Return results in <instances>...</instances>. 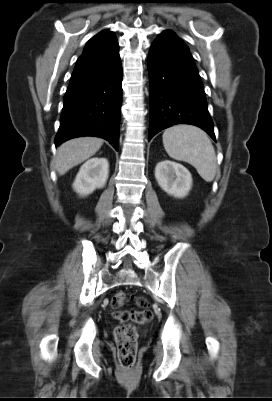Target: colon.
<instances>
[{
    "mask_svg": "<svg viewBox=\"0 0 272 401\" xmlns=\"http://www.w3.org/2000/svg\"><path fill=\"white\" fill-rule=\"evenodd\" d=\"M129 300L134 301L140 310H120ZM111 306L115 318L123 323L115 330L119 363L124 370H132L138 350V332L135 323L148 322L152 319L153 314L148 309V303L145 298H135L122 291L113 296Z\"/></svg>",
    "mask_w": 272,
    "mask_h": 401,
    "instance_id": "obj_1",
    "label": "colon"
}]
</instances>
